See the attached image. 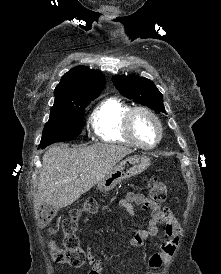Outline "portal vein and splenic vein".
<instances>
[{
    "label": "portal vein and splenic vein",
    "mask_w": 221,
    "mask_h": 274,
    "mask_svg": "<svg viewBox=\"0 0 221 274\" xmlns=\"http://www.w3.org/2000/svg\"><path fill=\"white\" fill-rule=\"evenodd\" d=\"M78 177V175H74L73 177H72V179H76Z\"/></svg>",
    "instance_id": "1"
}]
</instances>
